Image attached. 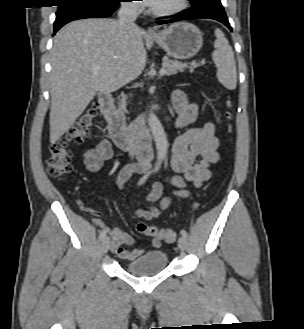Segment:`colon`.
Wrapping results in <instances>:
<instances>
[{"label":"colon","mask_w":304,"mask_h":329,"mask_svg":"<svg viewBox=\"0 0 304 329\" xmlns=\"http://www.w3.org/2000/svg\"><path fill=\"white\" fill-rule=\"evenodd\" d=\"M227 119H232L230 110L231 103L228 101ZM97 116V106L92 104L88 106L78 117L67 135L50 145V156L48 158V174L54 178H60L72 171L71 153L69 145L71 143H79L86 138L93 126ZM229 129L231 127L229 126ZM136 230L146 236L157 238L168 243H172L177 239V233L170 228H163L146 223H137Z\"/></svg>","instance_id":"obj_1"}]
</instances>
